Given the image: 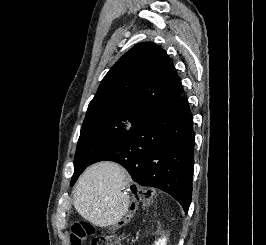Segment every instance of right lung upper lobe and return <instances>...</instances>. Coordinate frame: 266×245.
I'll use <instances>...</instances> for the list:
<instances>
[{
    "label": "right lung upper lobe",
    "mask_w": 266,
    "mask_h": 245,
    "mask_svg": "<svg viewBox=\"0 0 266 245\" xmlns=\"http://www.w3.org/2000/svg\"><path fill=\"white\" fill-rule=\"evenodd\" d=\"M182 94L183 86L172 60L158 45L143 42L126 52L109 70L86 116L104 111L144 116Z\"/></svg>",
    "instance_id": "obj_1"
}]
</instances>
